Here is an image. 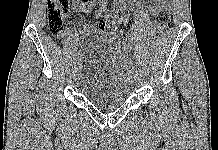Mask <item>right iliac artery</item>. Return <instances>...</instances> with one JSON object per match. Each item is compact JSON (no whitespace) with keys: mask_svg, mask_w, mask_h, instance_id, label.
I'll return each mask as SVG.
<instances>
[{"mask_svg":"<svg viewBox=\"0 0 218 150\" xmlns=\"http://www.w3.org/2000/svg\"><path fill=\"white\" fill-rule=\"evenodd\" d=\"M77 59H78L77 62L80 61V59H81V55L80 54L78 55Z\"/></svg>","mask_w":218,"mask_h":150,"instance_id":"right-iliac-artery-1","label":"right iliac artery"}]
</instances>
